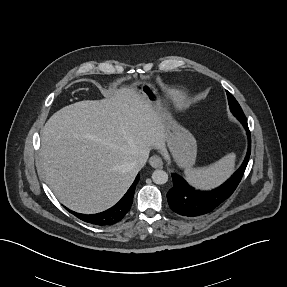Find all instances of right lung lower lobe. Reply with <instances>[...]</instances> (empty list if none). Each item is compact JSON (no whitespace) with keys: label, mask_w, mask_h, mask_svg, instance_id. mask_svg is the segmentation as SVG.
I'll return each instance as SVG.
<instances>
[{"label":"right lung lower lobe","mask_w":287,"mask_h":287,"mask_svg":"<svg viewBox=\"0 0 287 287\" xmlns=\"http://www.w3.org/2000/svg\"><path fill=\"white\" fill-rule=\"evenodd\" d=\"M140 179V176L137 175L135 181L129 188V190L126 192V194L122 197V199L113 207L110 209L98 213V214H80L73 212L69 209H67L69 212L73 213L76 217L81 219L82 221H85L87 223L99 225V226H105V225H112L120 221L125 214L130 210L133 196L135 192L136 185Z\"/></svg>","instance_id":"98d812e1"}]
</instances>
